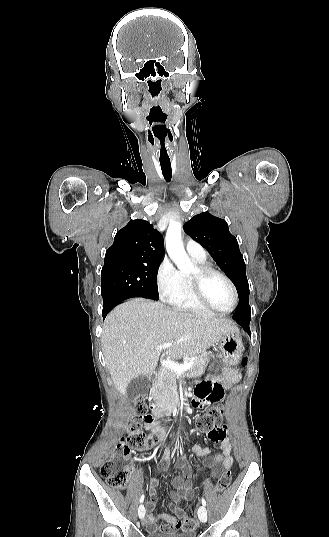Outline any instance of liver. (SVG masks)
<instances>
[{"label":"liver","mask_w":329,"mask_h":537,"mask_svg":"<svg viewBox=\"0 0 329 537\" xmlns=\"http://www.w3.org/2000/svg\"><path fill=\"white\" fill-rule=\"evenodd\" d=\"M236 329L229 319L183 313L161 302L135 298L107 315L102 351L116 389L125 395L132 379L154 373L163 351L157 346L173 343L165 351L171 359L192 357Z\"/></svg>","instance_id":"1"}]
</instances>
